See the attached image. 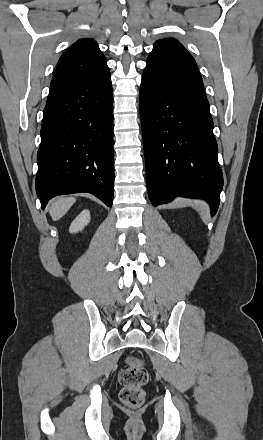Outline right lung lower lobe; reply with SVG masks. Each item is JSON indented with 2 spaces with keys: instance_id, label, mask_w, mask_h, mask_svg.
<instances>
[{
  "instance_id": "obj_1",
  "label": "right lung lower lobe",
  "mask_w": 263,
  "mask_h": 440,
  "mask_svg": "<svg viewBox=\"0 0 263 440\" xmlns=\"http://www.w3.org/2000/svg\"><path fill=\"white\" fill-rule=\"evenodd\" d=\"M42 209L55 196L87 192L108 207L114 191L110 72L50 93L37 154Z\"/></svg>"
}]
</instances>
